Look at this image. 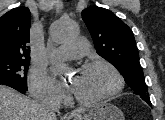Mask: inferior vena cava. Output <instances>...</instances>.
Here are the masks:
<instances>
[{
	"label": "inferior vena cava",
	"mask_w": 165,
	"mask_h": 120,
	"mask_svg": "<svg viewBox=\"0 0 165 120\" xmlns=\"http://www.w3.org/2000/svg\"><path fill=\"white\" fill-rule=\"evenodd\" d=\"M42 105V119L43 120H56L55 112L59 110L60 103L56 99L45 98L41 102Z\"/></svg>",
	"instance_id": "obj_1"
}]
</instances>
